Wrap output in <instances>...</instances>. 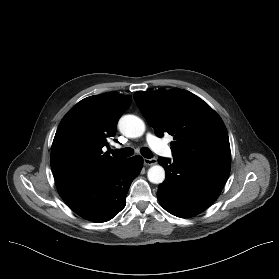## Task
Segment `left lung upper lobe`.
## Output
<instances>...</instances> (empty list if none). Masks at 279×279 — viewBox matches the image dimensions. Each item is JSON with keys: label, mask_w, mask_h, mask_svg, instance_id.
<instances>
[{"label": "left lung upper lobe", "mask_w": 279, "mask_h": 279, "mask_svg": "<svg viewBox=\"0 0 279 279\" xmlns=\"http://www.w3.org/2000/svg\"><path fill=\"white\" fill-rule=\"evenodd\" d=\"M134 99L158 137L174 136V158L230 167L226 127L202 99L183 89L138 91Z\"/></svg>", "instance_id": "left-lung-upper-lobe-1"}]
</instances>
